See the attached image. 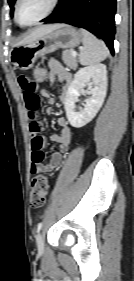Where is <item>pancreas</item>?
<instances>
[{"label": "pancreas", "instance_id": "pancreas-1", "mask_svg": "<svg viewBox=\"0 0 134 281\" xmlns=\"http://www.w3.org/2000/svg\"><path fill=\"white\" fill-rule=\"evenodd\" d=\"M71 50H65L62 53V60L63 62L70 67L71 69H76L78 64H77V58L72 56Z\"/></svg>", "mask_w": 134, "mask_h": 281}]
</instances>
